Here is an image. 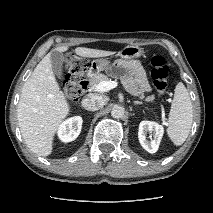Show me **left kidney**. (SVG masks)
Masks as SVG:
<instances>
[{
    "instance_id": "1",
    "label": "left kidney",
    "mask_w": 213,
    "mask_h": 213,
    "mask_svg": "<svg viewBox=\"0 0 213 213\" xmlns=\"http://www.w3.org/2000/svg\"><path fill=\"white\" fill-rule=\"evenodd\" d=\"M147 132H153V139H146ZM164 133V128L156 122L142 121L139 124L138 138L141 146L149 153H155L158 150L160 141Z\"/></svg>"
}]
</instances>
